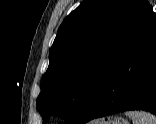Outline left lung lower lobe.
<instances>
[{
  "instance_id": "left-lung-lower-lobe-1",
  "label": "left lung lower lobe",
  "mask_w": 156,
  "mask_h": 124,
  "mask_svg": "<svg viewBox=\"0 0 156 124\" xmlns=\"http://www.w3.org/2000/svg\"><path fill=\"white\" fill-rule=\"evenodd\" d=\"M127 110L156 115V18L116 61L79 124Z\"/></svg>"
}]
</instances>
